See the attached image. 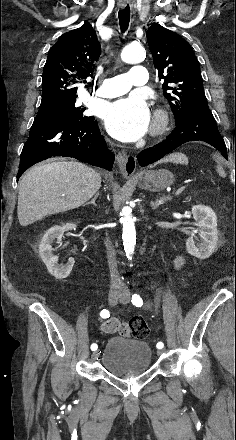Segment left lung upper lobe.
Segmentation results:
<instances>
[{
    "instance_id": "obj_1",
    "label": "left lung upper lobe",
    "mask_w": 236,
    "mask_h": 440,
    "mask_svg": "<svg viewBox=\"0 0 236 440\" xmlns=\"http://www.w3.org/2000/svg\"><path fill=\"white\" fill-rule=\"evenodd\" d=\"M146 35L154 66L164 81V97L179 123L192 107L207 104L199 62L187 41L158 23Z\"/></svg>"
}]
</instances>
